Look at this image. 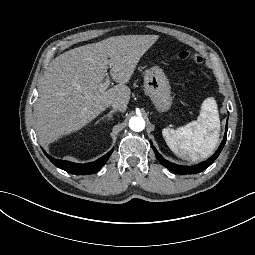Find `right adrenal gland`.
<instances>
[{"label": "right adrenal gland", "mask_w": 255, "mask_h": 255, "mask_svg": "<svg viewBox=\"0 0 255 255\" xmlns=\"http://www.w3.org/2000/svg\"><path fill=\"white\" fill-rule=\"evenodd\" d=\"M116 112V110H111L107 115H104L103 117H101L99 120H97L96 122H95V124H98L101 120H103L104 118H108V120L109 119H111L113 116H112V114L113 113H115Z\"/></svg>", "instance_id": "1"}]
</instances>
